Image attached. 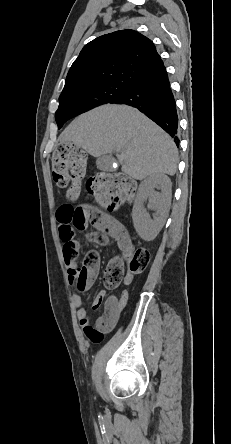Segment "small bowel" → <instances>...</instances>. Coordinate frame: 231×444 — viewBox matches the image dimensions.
Returning <instances> with one entry per match:
<instances>
[{"label": "small bowel", "mask_w": 231, "mask_h": 444, "mask_svg": "<svg viewBox=\"0 0 231 444\" xmlns=\"http://www.w3.org/2000/svg\"><path fill=\"white\" fill-rule=\"evenodd\" d=\"M71 207L70 204H62L57 209V221L59 224V235L63 242L64 253L74 250L78 253V241L74 237V228L64 222L63 217ZM90 209L88 206L81 207ZM97 233L90 236V240L105 243L107 238L114 239L120 248L131 249L132 244L126 228L114 217L101 213L98 221L93 225ZM76 260L68 266L70 282L75 285L77 277ZM132 274H128L124 284L128 285L132 281ZM129 294L123 290L119 297L107 296L105 291H101L92 302V309L97 310L104 303V312L93 323L88 310L82 305L80 295L73 296L72 304L76 311L80 327L84 335L92 342H100L103 334L111 331L117 324L121 312L128 302Z\"/></svg>", "instance_id": "c3829d8e"}]
</instances>
